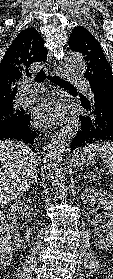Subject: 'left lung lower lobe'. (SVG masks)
Masks as SVG:
<instances>
[{
  "mask_svg": "<svg viewBox=\"0 0 113 279\" xmlns=\"http://www.w3.org/2000/svg\"><path fill=\"white\" fill-rule=\"evenodd\" d=\"M92 92L91 98H78L86 112L80 117L81 131L71 142V149L94 142H113V98L96 89Z\"/></svg>",
  "mask_w": 113,
  "mask_h": 279,
  "instance_id": "obj_1",
  "label": "left lung lower lobe"
}]
</instances>
